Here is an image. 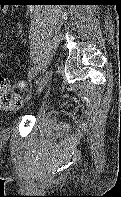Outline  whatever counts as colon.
<instances>
[{
  "instance_id": "1",
  "label": "colon",
  "mask_w": 121,
  "mask_h": 197,
  "mask_svg": "<svg viewBox=\"0 0 121 197\" xmlns=\"http://www.w3.org/2000/svg\"><path fill=\"white\" fill-rule=\"evenodd\" d=\"M21 90H25L27 85L25 82L20 84ZM22 99L15 94L9 80L0 74V111L14 112L20 108Z\"/></svg>"
}]
</instances>
